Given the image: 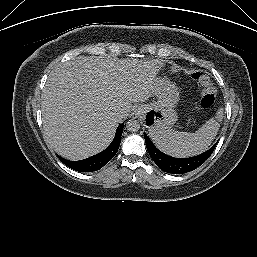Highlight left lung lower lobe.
<instances>
[{
  "label": "left lung lower lobe",
  "instance_id": "1",
  "mask_svg": "<svg viewBox=\"0 0 257 257\" xmlns=\"http://www.w3.org/2000/svg\"><path fill=\"white\" fill-rule=\"evenodd\" d=\"M147 150L156 165L166 173L183 174L193 171L202 165L214 151L216 144L209 150L189 158H175L161 152L144 133Z\"/></svg>",
  "mask_w": 257,
  "mask_h": 257
}]
</instances>
